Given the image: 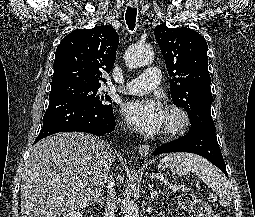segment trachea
<instances>
[{
  "label": "trachea",
  "mask_w": 255,
  "mask_h": 217,
  "mask_svg": "<svg viewBox=\"0 0 255 217\" xmlns=\"http://www.w3.org/2000/svg\"><path fill=\"white\" fill-rule=\"evenodd\" d=\"M137 9L128 7L125 14L126 23L130 30H134L136 23Z\"/></svg>",
  "instance_id": "trachea-1"
}]
</instances>
